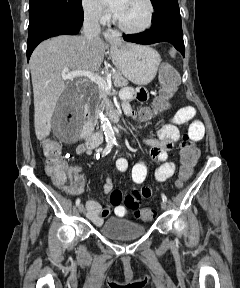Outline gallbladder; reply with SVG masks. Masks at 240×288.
<instances>
[{"mask_svg":"<svg viewBox=\"0 0 240 288\" xmlns=\"http://www.w3.org/2000/svg\"><path fill=\"white\" fill-rule=\"evenodd\" d=\"M80 111L81 104L78 102L75 93L72 92L71 86H69L58 99L52 116V122L65 119L68 114L76 115Z\"/></svg>","mask_w":240,"mask_h":288,"instance_id":"gallbladder-1","label":"gallbladder"}]
</instances>
